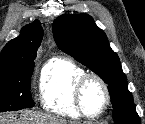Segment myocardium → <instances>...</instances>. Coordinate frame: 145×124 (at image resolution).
<instances>
[{
    "mask_svg": "<svg viewBox=\"0 0 145 124\" xmlns=\"http://www.w3.org/2000/svg\"><path fill=\"white\" fill-rule=\"evenodd\" d=\"M92 81L99 84L100 87L102 88L104 92V103L101 110L98 113L91 115L85 111L83 104V95L86 86ZM74 100L76 108L82 117L87 119H97L100 118L106 112L111 101V95L107 83L99 75L93 73H86L82 77H80L75 84Z\"/></svg>",
    "mask_w": 145,
    "mask_h": 124,
    "instance_id": "myocardium-1",
    "label": "myocardium"
}]
</instances>
